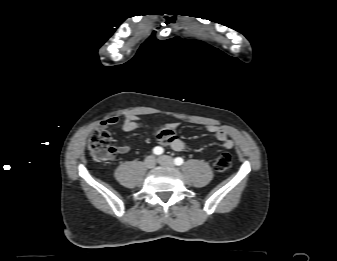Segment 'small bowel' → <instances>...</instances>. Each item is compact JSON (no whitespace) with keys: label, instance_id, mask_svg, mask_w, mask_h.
I'll use <instances>...</instances> for the list:
<instances>
[{"label":"small bowel","instance_id":"c3829d8e","mask_svg":"<svg viewBox=\"0 0 337 261\" xmlns=\"http://www.w3.org/2000/svg\"><path fill=\"white\" fill-rule=\"evenodd\" d=\"M119 122L118 117H110L100 123L101 128H107L112 125H116ZM179 124L177 122H171L163 125L156 126L153 129V135L156 140L164 146H169L172 150L181 152L185 149V142L176 135V130ZM122 130L125 132H132L142 128V124L139 119L133 115H126L123 118L121 124ZM207 131L213 134L221 143V146L225 150L232 149L234 143L228 136L226 130L217 125H208ZM130 151L128 145H121L117 148L119 154H127Z\"/></svg>","mask_w":337,"mask_h":261}]
</instances>
